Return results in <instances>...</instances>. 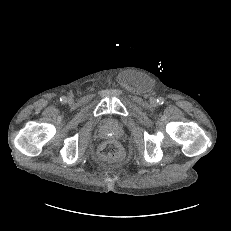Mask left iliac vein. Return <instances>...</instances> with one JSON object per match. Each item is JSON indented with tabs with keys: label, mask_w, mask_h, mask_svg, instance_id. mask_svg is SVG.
<instances>
[{
	"label": "left iliac vein",
	"mask_w": 231,
	"mask_h": 231,
	"mask_svg": "<svg viewBox=\"0 0 231 231\" xmlns=\"http://www.w3.org/2000/svg\"><path fill=\"white\" fill-rule=\"evenodd\" d=\"M151 102H152V103H154V102H155V100L153 99Z\"/></svg>",
	"instance_id": "1"
}]
</instances>
